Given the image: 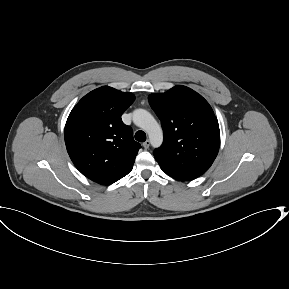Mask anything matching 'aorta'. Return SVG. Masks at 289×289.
Listing matches in <instances>:
<instances>
[{
  "label": "aorta",
  "mask_w": 289,
  "mask_h": 289,
  "mask_svg": "<svg viewBox=\"0 0 289 289\" xmlns=\"http://www.w3.org/2000/svg\"><path fill=\"white\" fill-rule=\"evenodd\" d=\"M133 122L136 126L147 132L151 145L159 147L163 142V131L155 118L144 109H136L133 112Z\"/></svg>",
  "instance_id": "aorta-1"
}]
</instances>
